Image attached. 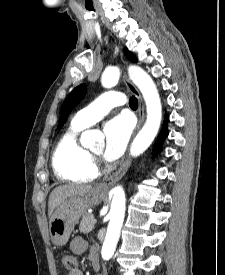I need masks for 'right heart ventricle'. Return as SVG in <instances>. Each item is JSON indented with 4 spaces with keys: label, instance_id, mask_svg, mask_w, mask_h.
I'll return each instance as SVG.
<instances>
[{
    "label": "right heart ventricle",
    "instance_id": "1",
    "mask_svg": "<svg viewBox=\"0 0 225 275\" xmlns=\"http://www.w3.org/2000/svg\"><path fill=\"white\" fill-rule=\"evenodd\" d=\"M85 127L72 123L59 139L52 155V167L55 174L70 182H89L94 180L98 171L94 167V158L79 141V133Z\"/></svg>",
    "mask_w": 225,
    "mask_h": 275
}]
</instances>
